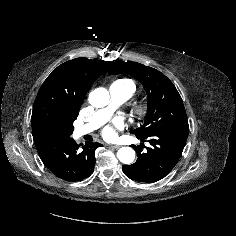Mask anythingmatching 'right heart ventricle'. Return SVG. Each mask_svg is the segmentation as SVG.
Masks as SVG:
<instances>
[{
    "label": "right heart ventricle",
    "instance_id": "1",
    "mask_svg": "<svg viewBox=\"0 0 236 236\" xmlns=\"http://www.w3.org/2000/svg\"><path fill=\"white\" fill-rule=\"evenodd\" d=\"M115 82H121V83H124V84L130 86L131 89H132V94L134 93V91H135V86H134V84H133L132 81H130V80H128V79H119V80H116Z\"/></svg>",
    "mask_w": 236,
    "mask_h": 236
}]
</instances>
